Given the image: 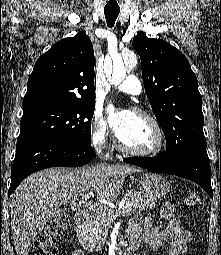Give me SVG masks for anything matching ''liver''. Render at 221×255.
Returning a JSON list of instances; mask_svg holds the SVG:
<instances>
[{
	"label": "liver",
	"mask_w": 221,
	"mask_h": 255,
	"mask_svg": "<svg viewBox=\"0 0 221 255\" xmlns=\"http://www.w3.org/2000/svg\"><path fill=\"white\" fill-rule=\"evenodd\" d=\"M139 169L129 165L84 166L78 169L49 168L27 177L11 195L10 216L17 255L28 248L62 205H73L94 191L97 200L113 201L125 176ZM91 190V192H89Z\"/></svg>",
	"instance_id": "obj_1"
}]
</instances>
